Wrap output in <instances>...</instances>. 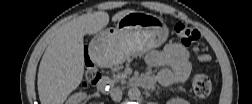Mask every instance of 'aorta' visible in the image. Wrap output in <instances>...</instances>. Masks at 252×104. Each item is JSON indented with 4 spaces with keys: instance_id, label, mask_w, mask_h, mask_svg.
<instances>
[{
    "instance_id": "obj_1",
    "label": "aorta",
    "mask_w": 252,
    "mask_h": 104,
    "mask_svg": "<svg viewBox=\"0 0 252 104\" xmlns=\"http://www.w3.org/2000/svg\"><path fill=\"white\" fill-rule=\"evenodd\" d=\"M141 96V92L137 87H132L128 90V97L130 100H138Z\"/></svg>"
}]
</instances>
